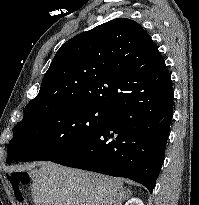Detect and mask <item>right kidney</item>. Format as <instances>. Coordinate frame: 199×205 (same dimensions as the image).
Instances as JSON below:
<instances>
[{
  "label": "right kidney",
  "instance_id": "ca27d5eb",
  "mask_svg": "<svg viewBox=\"0 0 199 205\" xmlns=\"http://www.w3.org/2000/svg\"><path fill=\"white\" fill-rule=\"evenodd\" d=\"M125 205H144L139 198H131L128 200Z\"/></svg>",
  "mask_w": 199,
  "mask_h": 205
}]
</instances>
